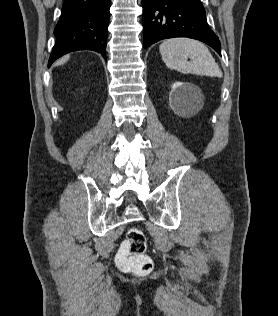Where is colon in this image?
<instances>
[{
	"instance_id": "colon-1",
	"label": "colon",
	"mask_w": 278,
	"mask_h": 316,
	"mask_svg": "<svg viewBox=\"0 0 278 316\" xmlns=\"http://www.w3.org/2000/svg\"><path fill=\"white\" fill-rule=\"evenodd\" d=\"M146 249L147 239L144 232L140 228H130L116 256L118 267L127 272L149 273L153 268V261L146 255Z\"/></svg>"
}]
</instances>
